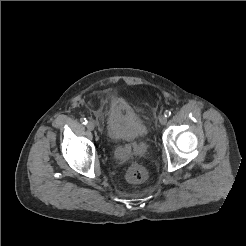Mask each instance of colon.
Masks as SVG:
<instances>
[{
    "mask_svg": "<svg viewBox=\"0 0 246 246\" xmlns=\"http://www.w3.org/2000/svg\"><path fill=\"white\" fill-rule=\"evenodd\" d=\"M147 178V171L146 169L139 165L135 164L131 166L127 173H126V179L130 183H141Z\"/></svg>",
    "mask_w": 246,
    "mask_h": 246,
    "instance_id": "obj_1",
    "label": "colon"
}]
</instances>
